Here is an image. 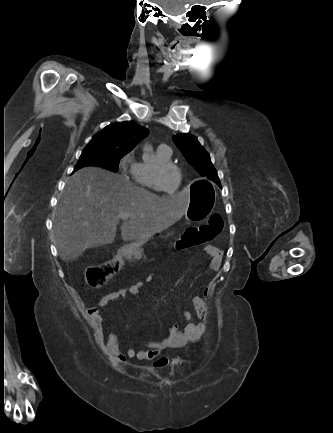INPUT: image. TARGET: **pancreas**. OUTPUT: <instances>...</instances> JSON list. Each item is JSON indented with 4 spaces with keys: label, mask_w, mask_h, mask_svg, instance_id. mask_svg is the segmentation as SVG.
<instances>
[{
    "label": "pancreas",
    "mask_w": 333,
    "mask_h": 433,
    "mask_svg": "<svg viewBox=\"0 0 333 433\" xmlns=\"http://www.w3.org/2000/svg\"><path fill=\"white\" fill-rule=\"evenodd\" d=\"M146 241L147 239H141L138 240L134 245L125 247L124 255L130 260L142 258L143 251L141 249V245Z\"/></svg>",
    "instance_id": "obj_1"
}]
</instances>
